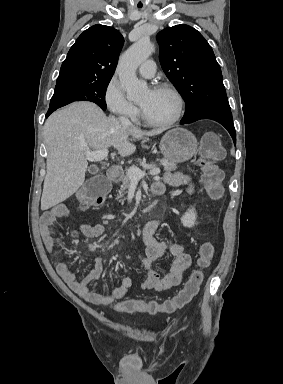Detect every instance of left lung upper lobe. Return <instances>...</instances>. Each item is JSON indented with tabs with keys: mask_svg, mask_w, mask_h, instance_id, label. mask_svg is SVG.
<instances>
[{
	"mask_svg": "<svg viewBox=\"0 0 283 384\" xmlns=\"http://www.w3.org/2000/svg\"><path fill=\"white\" fill-rule=\"evenodd\" d=\"M160 63L186 102L181 121L207 113L231 112L221 68L212 48L193 27H168L157 35Z\"/></svg>",
	"mask_w": 283,
	"mask_h": 384,
	"instance_id": "obj_1",
	"label": "left lung upper lobe"
}]
</instances>
